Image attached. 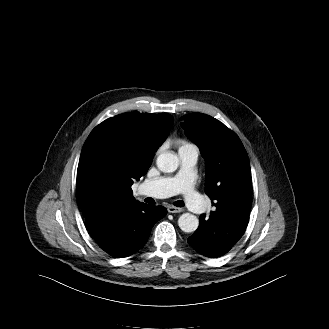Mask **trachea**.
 <instances>
[{
	"mask_svg": "<svg viewBox=\"0 0 329 329\" xmlns=\"http://www.w3.org/2000/svg\"><path fill=\"white\" fill-rule=\"evenodd\" d=\"M173 204L177 207H183L184 206V202L181 201V200H178V201L174 202Z\"/></svg>",
	"mask_w": 329,
	"mask_h": 329,
	"instance_id": "3493384b",
	"label": "trachea"
}]
</instances>
